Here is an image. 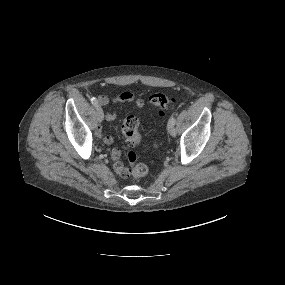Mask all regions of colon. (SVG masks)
<instances>
[{
	"label": "colon",
	"instance_id": "1",
	"mask_svg": "<svg viewBox=\"0 0 285 285\" xmlns=\"http://www.w3.org/2000/svg\"><path fill=\"white\" fill-rule=\"evenodd\" d=\"M151 103L161 111L171 108L175 100L171 96L164 93H154L150 97ZM122 133L132 144L137 145L142 142V134L140 130V121L136 116H127L122 123ZM154 148H157V144L154 143ZM128 162L131 164V174L134 177H143L148 173V167L142 163L137 162V156L134 152L128 153Z\"/></svg>",
	"mask_w": 285,
	"mask_h": 285
}]
</instances>
